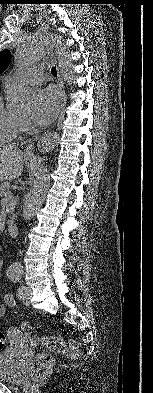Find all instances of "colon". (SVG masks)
Here are the masks:
<instances>
[{
  "label": "colon",
  "instance_id": "obj_1",
  "mask_svg": "<svg viewBox=\"0 0 153 393\" xmlns=\"http://www.w3.org/2000/svg\"><path fill=\"white\" fill-rule=\"evenodd\" d=\"M22 330L24 335L30 336L31 327L29 324H23ZM11 333H16V330L11 328ZM37 341L53 354H64L70 359H78L80 357V345L75 341L64 342L60 338L46 336L37 338ZM5 342V335L0 333V350L5 347ZM53 364L54 359L49 354H40L31 365L30 376L36 380H42Z\"/></svg>",
  "mask_w": 153,
  "mask_h": 393
}]
</instances>
